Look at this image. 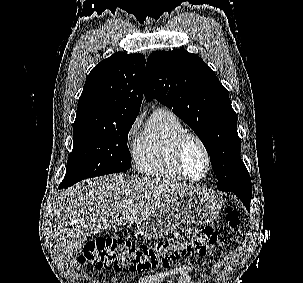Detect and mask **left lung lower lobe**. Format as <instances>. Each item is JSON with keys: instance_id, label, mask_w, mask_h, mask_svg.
Returning <instances> with one entry per match:
<instances>
[{"instance_id": "1", "label": "left lung lower lobe", "mask_w": 303, "mask_h": 283, "mask_svg": "<svg viewBox=\"0 0 303 283\" xmlns=\"http://www.w3.org/2000/svg\"><path fill=\"white\" fill-rule=\"evenodd\" d=\"M221 191H228L234 193L237 197L240 198V200L243 202V204L246 206V208L249 210L250 208V202L252 198V193H246L235 189H224Z\"/></svg>"}]
</instances>
